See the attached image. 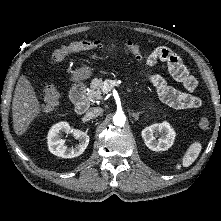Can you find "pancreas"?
<instances>
[{"label":"pancreas","mask_w":221,"mask_h":221,"mask_svg":"<svg viewBox=\"0 0 221 221\" xmlns=\"http://www.w3.org/2000/svg\"><path fill=\"white\" fill-rule=\"evenodd\" d=\"M104 81L101 78H94L90 84V90L87 94L90 101L101 99Z\"/></svg>","instance_id":"1"}]
</instances>
